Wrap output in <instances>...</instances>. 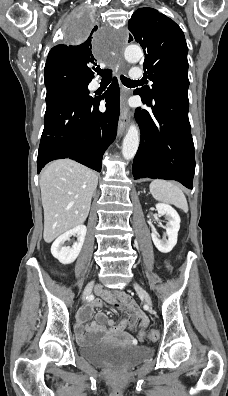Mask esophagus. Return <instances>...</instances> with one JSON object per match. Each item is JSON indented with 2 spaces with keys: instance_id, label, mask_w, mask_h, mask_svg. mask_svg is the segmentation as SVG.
I'll return each mask as SVG.
<instances>
[{
  "instance_id": "1",
  "label": "esophagus",
  "mask_w": 228,
  "mask_h": 396,
  "mask_svg": "<svg viewBox=\"0 0 228 396\" xmlns=\"http://www.w3.org/2000/svg\"><path fill=\"white\" fill-rule=\"evenodd\" d=\"M120 65L123 66L124 62L121 61ZM128 122H129V108L127 106V96L123 92L121 97V110H120V117L118 121V130H117L119 137L122 136L123 133L125 132Z\"/></svg>"
}]
</instances>
